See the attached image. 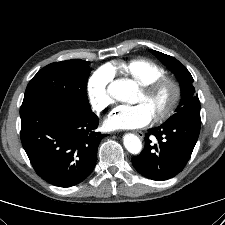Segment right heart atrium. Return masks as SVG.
Returning <instances> with one entry per match:
<instances>
[{
  "instance_id": "obj_1",
  "label": "right heart atrium",
  "mask_w": 225,
  "mask_h": 225,
  "mask_svg": "<svg viewBox=\"0 0 225 225\" xmlns=\"http://www.w3.org/2000/svg\"><path fill=\"white\" fill-rule=\"evenodd\" d=\"M114 72L110 67H102L96 70L87 83V95L91 107L95 112H102L112 104L110 84Z\"/></svg>"
}]
</instances>
